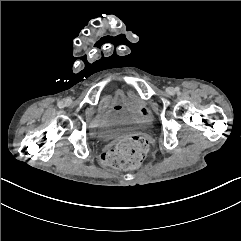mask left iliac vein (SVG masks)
Returning a JSON list of instances; mask_svg holds the SVG:
<instances>
[{
    "instance_id": "left-iliac-vein-1",
    "label": "left iliac vein",
    "mask_w": 241,
    "mask_h": 241,
    "mask_svg": "<svg viewBox=\"0 0 241 241\" xmlns=\"http://www.w3.org/2000/svg\"><path fill=\"white\" fill-rule=\"evenodd\" d=\"M166 92H167L168 94H174L175 89H174V87L169 86V87L166 88Z\"/></svg>"
}]
</instances>
